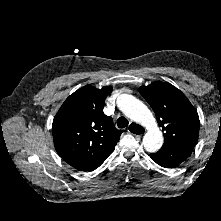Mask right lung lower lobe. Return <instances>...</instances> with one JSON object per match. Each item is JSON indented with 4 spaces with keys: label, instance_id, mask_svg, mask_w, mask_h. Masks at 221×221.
Instances as JSON below:
<instances>
[{
    "label": "right lung lower lobe",
    "instance_id": "right-lung-lower-lobe-1",
    "mask_svg": "<svg viewBox=\"0 0 221 221\" xmlns=\"http://www.w3.org/2000/svg\"><path fill=\"white\" fill-rule=\"evenodd\" d=\"M102 163H103V161H100V162L92 163V164H89V165H84V166H81V167L76 168V169L82 170V171H93L96 168H98Z\"/></svg>",
    "mask_w": 221,
    "mask_h": 221
}]
</instances>
